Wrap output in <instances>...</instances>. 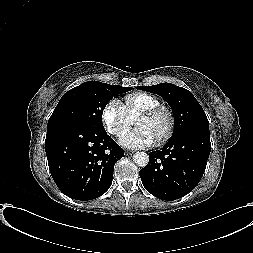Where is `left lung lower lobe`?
Wrapping results in <instances>:
<instances>
[{
    "label": "left lung lower lobe",
    "mask_w": 253,
    "mask_h": 253,
    "mask_svg": "<svg viewBox=\"0 0 253 253\" xmlns=\"http://www.w3.org/2000/svg\"><path fill=\"white\" fill-rule=\"evenodd\" d=\"M210 150L209 128L177 132L161 150L150 152L147 166L139 172L143 186L166 201L183 197L201 180Z\"/></svg>",
    "instance_id": "0a47b994"
}]
</instances>
